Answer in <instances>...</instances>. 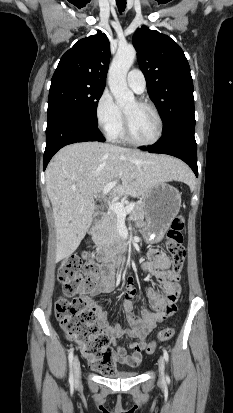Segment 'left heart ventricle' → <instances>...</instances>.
<instances>
[{"instance_id": "b2bd125f", "label": "left heart ventricle", "mask_w": 233, "mask_h": 413, "mask_svg": "<svg viewBox=\"0 0 233 413\" xmlns=\"http://www.w3.org/2000/svg\"><path fill=\"white\" fill-rule=\"evenodd\" d=\"M133 137L142 142L151 141L158 131V122L151 109L132 101L125 108Z\"/></svg>"}]
</instances>
